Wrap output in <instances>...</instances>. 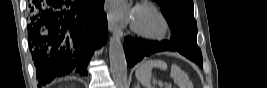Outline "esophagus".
<instances>
[{"label": "esophagus", "instance_id": "esophagus-1", "mask_svg": "<svg viewBox=\"0 0 267 88\" xmlns=\"http://www.w3.org/2000/svg\"><path fill=\"white\" fill-rule=\"evenodd\" d=\"M108 19V27L109 30L119 36L120 38H123V31L121 30L120 27L117 26V24L113 21L112 17L110 15H107Z\"/></svg>", "mask_w": 267, "mask_h": 88}]
</instances>
